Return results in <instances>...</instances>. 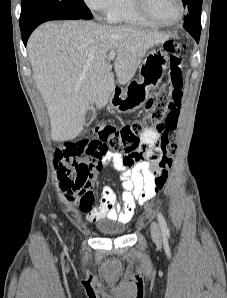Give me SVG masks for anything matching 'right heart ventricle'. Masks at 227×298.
<instances>
[{
  "mask_svg": "<svg viewBox=\"0 0 227 298\" xmlns=\"http://www.w3.org/2000/svg\"><path fill=\"white\" fill-rule=\"evenodd\" d=\"M110 23L134 27H153L154 24L139 15L134 0H116L114 7L106 14Z\"/></svg>",
  "mask_w": 227,
  "mask_h": 298,
  "instance_id": "obj_1",
  "label": "right heart ventricle"
}]
</instances>
